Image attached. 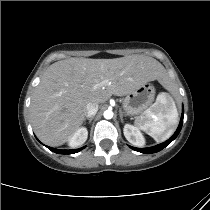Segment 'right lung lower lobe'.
Returning a JSON list of instances; mask_svg holds the SVG:
<instances>
[{"label":"right lung lower lobe","mask_w":210,"mask_h":210,"mask_svg":"<svg viewBox=\"0 0 210 210\" xmlns=\"http://www.w3.org/2000/svg\"><path fill=\"white\" fill-rule=\"evenodd\" d=\"M51 151L55 152V153H58V154H73V153H77L79 152L80 150H82L83 148H80V149H75V150H58V149H55V148H51V147H48Z\"/></svg>","instance_id":"obj_1"}]
</instances>
